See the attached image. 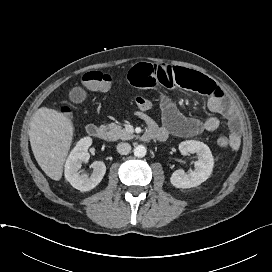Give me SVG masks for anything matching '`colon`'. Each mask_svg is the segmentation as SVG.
<instances>
[{
    "label": "colon",
    "instance_id": "5ec220e1",
    "mask_svg": "<svg viewBox=\"0 0 272 272\" xmlns=\"http://www.w3.org/2000/svg\"><path fill=\"white\" fill-rule=\"evenodd\" d=\"M82 83L86 89L93 92H103L109 89L111 85V77L108 74L100 71H90L84 74ZM136 106L140 110L149 111L153 108V103L147 98L138 97L135 100ZM62 112L68 116H72V110L69 106L62 107ZM218 146L225 148L229 146V140L226 136H219L217 138Z\"/></svg>",
    "mask_w": 272,
    "mask_h": 272
}]
</instances>
